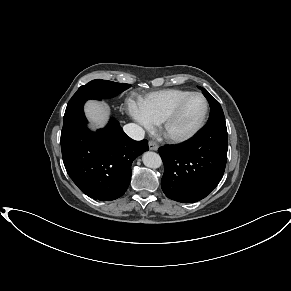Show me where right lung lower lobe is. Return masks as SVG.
Masks as SVG:
<instances>
[{
  "label": "right lung lower lobe",
  "mask_w": 291,
  "mask_h": 291,
  "mask_svg": "<svg viewBox=\"0 0 291 291\" xmlns=\"http://www.w3.org/2000/svg\"><path fill=\"white\" fill-rule=\"evenodd\" d=\"M86 124L84 112L78 119H64L61 150L66 171L87 196L117 199L129 186L133 160L148 151V141L132 140L113 118L96 132Z\"/></svg>",
  "instance_id": "98d812e1"
}]
</instances>
